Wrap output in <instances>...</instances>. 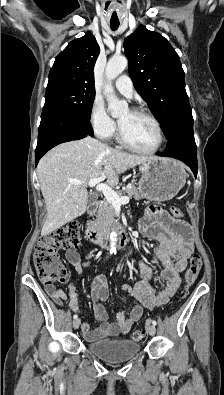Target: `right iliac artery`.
<instances>
[{
    "label": "right iliac artery",
    "mask_w": 224,
    "mask_h": 395,
    "mask_svg": "<svg viewBox=\"0 0 224 395\" xmlns=\"http://www.w3.org/2000/svg\"><path fill=\"white\" fill-rule=\"evenodd\" d=\"M73 318H74V319H77V318H78V316L75 314V315L73 316Z\"/></svg>",
    "instance_id": "obj_1"
}]
</instances>
